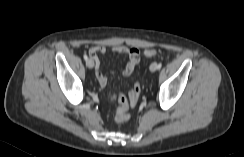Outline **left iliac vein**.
<instances>
[{"mask_svg":"<svg viewBox=\"0 0 244 157\" xmlns=\"http://www.w3.org/2000/svg\"><path fill=\"white\" fill-rule=\"evenodd\" d=\"M157 70V63H152L151 65H150V71L151 72H154V71H156Z\"/></svg>","mask_w":244,"mask_h":157,"instance_id":"1","label":"left iliac vein"}]
</instances>
